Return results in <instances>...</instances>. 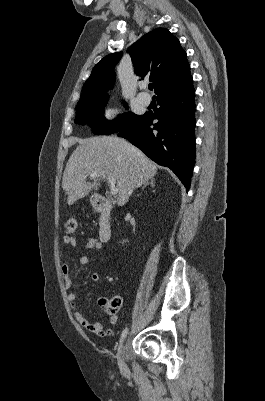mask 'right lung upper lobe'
Segmentation results:
<instances>
[{"mask_svg": "<svg viewBox=\"0 0 265 401\" xmlns=\"http://www.w3.org/2000/svg\"><path fill=\"white\" fill-rule=\"evenodd\" d=\"M128 52L135 72L142 77L149 76L157 95L182 89L192 82L186 52L179 40L165 28L143 35ZM121 56V52L109 54L96 64L83 86L78 104L108 95L106 91L114 84V67Z\"/></svg>", "mask_w": 265, "mask_h": 401, "instance_id": "obj_1", "label": "right lung upper lobe"}]
</instances>
